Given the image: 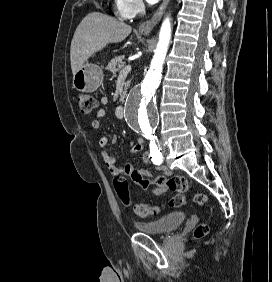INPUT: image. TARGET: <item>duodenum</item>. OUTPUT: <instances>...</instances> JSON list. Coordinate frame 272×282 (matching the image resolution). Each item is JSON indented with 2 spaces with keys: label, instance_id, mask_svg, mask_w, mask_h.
I'll return each mask as SVG.
<instances>
[{
  "label": "duodenum",
  "instance_id": "duodenum-1",
  "mask_svg": "<svg viewBox=\"0 0 272 282\" xmlns=\"http://www.w3.org/2000/svg\"><path fill=\"white\" fill-rule=\"evenodd\" d=\"M123 111V107H119L118 114H120Z\"/></svg>",
  "mask_w": 272,
  "mask_h": 282
}]
</instances>
